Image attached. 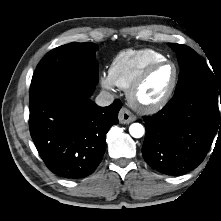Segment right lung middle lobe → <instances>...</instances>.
<instances>
[{
    "instance_id": "1",
    "label": "right lung middle lobe",
    "mask_w": 221,
    "mask_h": 221,
    "mask_svg": "<svg viewBox=\"0 0 221 221\" xmlns=\"http://www.w3.org/2000/svg\"><path fill=\"white\" fill-rule=\"evenodd\" d=\"M94 43L72 42L57 47L38 64L30 86V99L48 84L67 76H81L98 82V66Z\"/></svg>"
}]
</instances>
